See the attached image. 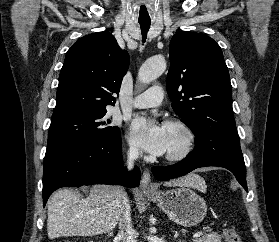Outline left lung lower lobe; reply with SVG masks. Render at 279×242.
<instances>
[{
	"instance_id": "left-lung-lower-lobe-1",
	"label": "left lung lower lobe",
	"mask_w": 279,
	"mask_h": 242,
	"mask_svg": "<svg viewBox=\"0 0 279 242\" xmlns=\"http://www.w3.org/2000/svg\"><path fill=\"white\" fill-rule=\"evenodd\" d=\"M206 166H218L230 170L238 182L247 190L246 184V167L242 163H237L227 158L207 157L193 158L187 157L182 161L169 166H155L152 168L154 176L161 181H167L172 178L183 176L196 168Z\"/></svg>"
}]
</instances>
